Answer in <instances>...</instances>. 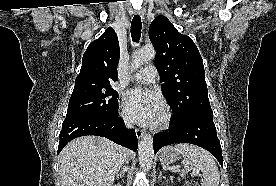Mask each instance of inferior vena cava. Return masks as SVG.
Wrapping results in <instances>:
<instances>
[{"instance_id":"inferior-vena-cava-1","label":"inferior vena cava","mask_w":276,"mask_h":186,"mask_svg":"<svg viewBox=\"0 0 276 186\" xmlns=\"http://www.w3.org/2000/svg\"><path fill=\"white\" fill-rule=\"evenodd\" d=\"M125 126L128 127V128L132 127V122L131 121H126Z\"/></svg>"}]
</instances>
